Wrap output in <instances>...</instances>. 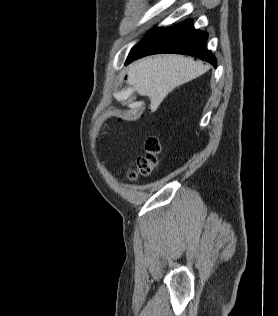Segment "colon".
I'll return each instance as SVG.
<instances>
[{"label":"colon","mask_w":278,"mask_h":316,"mask_svg":"<svg viewBox=\"0 0 278 316\" xmlns=\"http://www.w3.org/2000/svg\"><path fill=\"white\" fill-rule=\"evenodd\" d=\"M145 149V155L137 159L135 169L128 174V178L132 181L139 177L151 175L160 164L163 149L159 139L155 136H149L145 141Z\"/></svg>","instance_id":"colon-1"}]
</instances>
